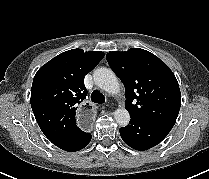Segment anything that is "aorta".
Listing matches in <instances>:
<instances>
[{"mask_svg":"<svg viewBox=\"0 0 209 179\" xmlns=\"http://www.w3.org/2000/svg\"><path fill=\"white\" fill-rule=\"evenodd\" d=\"M95 84L110 94H118L121 90L119 80L115 73L108 68H98L93 74ZM114 118L120 126L128 125L129 112L125 108H119L114 112Z\"/></svg>","mask_w":209,"mask_h":179,"instance_id":"aorta-1","label":"aorta"}]
</instances>
